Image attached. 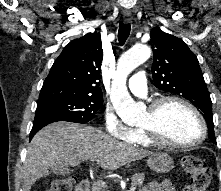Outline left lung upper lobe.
Returning <instances> with one entry per match:
<instances>
[{
    "label": "left lung upper lobe",
    "mask_w": 221,
    "mask_h": 191,
    "mask_svg": "<svg viewBox=\"0 0 221 191\" xmlns=\"http://www.w3.org/2000/svg\"><path fill=\"white\" fill-rule=\"evenodd\" d=\"M150 36L154 85L194 104L207 122L209 138L216 143L212 102L197 57L183 40L159 28L151 30Z\"/></svg>",
    "instance_id": "1"
}]
</instances>
